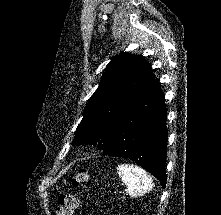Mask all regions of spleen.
<instances>
[{
    "instance_id": "spleen-1",
    "label": "spleen",
    "mask_w": 221,
    "mask_h": 215,
    "mask_svg": "<svg viewBox=\"0 0 221 215\" xmlns=\"http://www.w3.org/2000/svg\"><path fill=\"white\" fill-rule=\"evenodd\" d=\"M117 172L127 186L130 196L143 195L153 188L151 177L146 171L133 164H120Z\"/></svg>"
}]
</instances>
